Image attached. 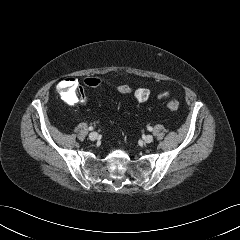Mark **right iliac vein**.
<instances>
[{
  "label": "right iliac vein",
  "instance_id": "right-iliac-vein-1",
  "mask_svg": "<svg viewBox=\"0 0 240 240\" xmlns=\"http://www.w3.org/2000/svg\"><path fill=\"white\" fill-rule=\"evenodd\" d=\"M98 138V134L96 132H92L89 134V139L95 141Z\"/></svg>",
  "mask_w": 240,
  "mask_h": 240
}]
</instances>
